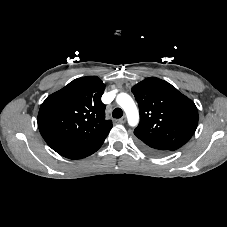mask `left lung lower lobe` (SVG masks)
Returning a JSON list of instances; mask_svg holds the SVG:
<instances>
[{"mask_svg": "<svg viewBox=\"0 0 227 227\" xmlns=\"http://www.w3.org/2000/svg\"><path fill=\"white\" fill-rule=\"evenodd\" d=\"M139 147L141 149H143L144 151L148 152V153H151V154H154V155H160V154H163L165 153V151L163 150H160V149H156V148H152V147H148L140 142H137Z\"/></svg>", "mask_w": 227, "mask_h": 227, "instance_id": "0a47b994", "label": "left lung lower lobe"}]
</instances>
